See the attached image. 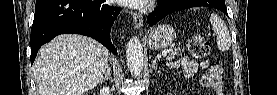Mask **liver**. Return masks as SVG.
<instances>
[{"label":"liver","mask_w":277,"mask_h":95,"mask_svg":"<svg viewBox=\"0 0 277 95\" xmlns=\"http://www.w3.org/2000/svg\"><path fill=\"white\" fill-rule=\"evenodd\" d=\"M109 51L87 36L65 34L42 46L33 65L39 95H82L96 87Z\"/></svg>","instance_id":"6515ba94"}]
</instances>
